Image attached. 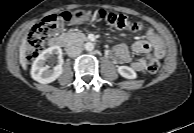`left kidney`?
<instances>
[{
    "label": "left kidney",
    "instance_id": "left-kidney-1",
    "mask_svg": "<svg viewBox=\"0 0 194 133\" xmlns=\"http://www.w3.org/2000/svg\"><path fill=\"white\" fill-rule=\"evenodd\" d=\"M117 70L118 73L124 78L135 79L137 77L136 72L128 66H119Z\"/></svg>",
    "mask_w": 194,
    "mask_h": 133
}]
</instances>
